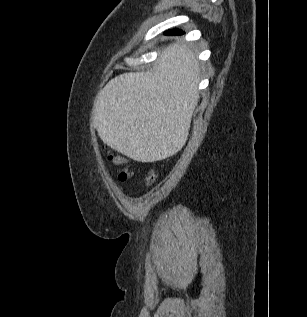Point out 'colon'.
Here are the masks:
<instances>
[{"label":"colon","instance_id":"1","mask_svg":"<svg viewBox=\"0 0 307 317\" xmlns=\"http://www.w3.org/2000/svg\"><path fill=\"white\" fill-rule=\"evenodd\" d=\"M107 158H108V161L112 163L113 165L119 166V165H125L127 163L126 158L120 155L108 154ZM131 175H132L131 170L128 167H124L120 171L118 178L121 182H126L129 180ZM156 179H157L156 172L153 169L149 170L145 177V181H144L145 186L146 187L152 186L155 183Z\"/></svg>","mask_w":307,"mask_h":317}]
</instances>
